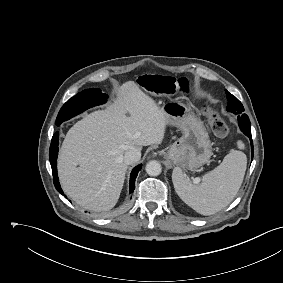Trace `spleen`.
Listing matches in <instances>:
<instances>
[{"instance_id": "obj_1", "label": "spleen", "mask_w": 283, "mask_h": 283, "mask_svg": "<svg viewBox=\"0 0 283 283\" xmlns=\"http://www.w3.org/2000/svg\"><path fill=\"white\" fill-rule=\"evenodd\" d=\"M239 149H244L241 141ZM247 166V158L240 150H231L222 163L202 177L195 185L179 167L174 168L172 181L178 196L202 215H212L226 207L236 196Z\"/></svg>"}]
</instances>
